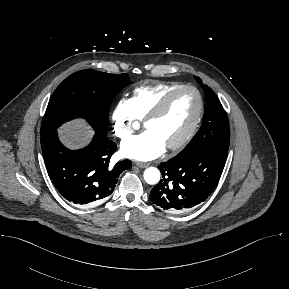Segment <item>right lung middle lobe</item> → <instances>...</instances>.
Masks as SVG:
<instances>
[{
    "label": "right lung middle lobe",
    "instance_id": "obj_1",
    "mask_svg": "<svg viewBox=\"0 0 289 289\" xmlns=\"http://www.w3.org/2000/svg\"><path fill=\"white\" fill-rule=\"evenodd\" d=\"M131 81L126 74H107L91 69L66 78L54 91L41 125V135L75 118H84L96 134L107 137L109 107Z\"/></svg>",
    "mask_w": 289,
    "mask_h": 289
}]
</instances>
